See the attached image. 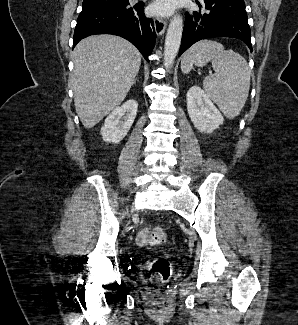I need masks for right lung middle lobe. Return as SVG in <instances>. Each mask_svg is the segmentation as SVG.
Instances as JSON below:
<instances>
[{
	"label": "right lung middle lobe",
	"instance_id": "1",
	"mask_svg": "<svg viewBox=\"0 0 298 325\" xmlns=\"http://www.w3.org/2000/svg\"><path fill=\"white\" fill-rule=\"evenodd\" d=\"M128 4V0H84L83 9L126 7Z\"/></svg>",
	"mask_w": 298,
	"mask_h": 325
}]
</instances>
